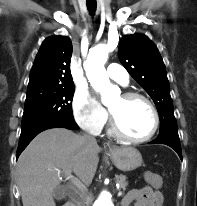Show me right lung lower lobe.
Here are the masks:
<instances>
[{
  "mask_svg": "<svg viewBox=\"0 0 197 206\" xmlns=\"http://www.w3.org/2000/svg\"><path fill=\"white\" fill-rule=\"evenodd\" d=\"M56 127H63L71 130L78 129V125L74 120L69 119H56V120H47L39 122L35 125H32L28 128L21 129V135L19 139V146L17 149L16 159L19 157L21 152L27 147L31 140L40 132Z\"/></svg>",
  "mask_w": 197,
  "mask_h": 206,
  "instance_id": "1",
  "label": "right lung lower lobe"
}]
</instances>
